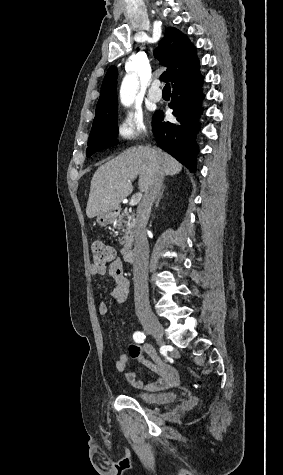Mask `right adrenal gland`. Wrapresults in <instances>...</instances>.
Listing matches in <instances>:
<instances>
[{
    "instance_id": "1",
    "label": "right adrenal gland",
    "mask_w": 283,
    "mask_h": 475,
    "mask_svg": "<svg viewBox=\"0 0 283 475\" xmlns=\"http://www.w3.org/2000/svg\"><path fill=\"white\" fill-rule=\"evenodd\" d=\"M164 190H165V186H162V190H161V192H160V194H159V196H158V198H157V200H156V202H155V208H158V206H159V204H160V200H161V198H162V196H163Z\"/></svg>"
}]
</instances>
